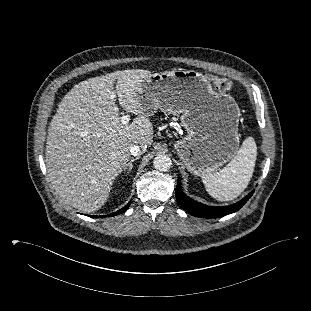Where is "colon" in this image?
Instances as JSON below:
<instances>
[{"label": "colon", "mask_w": 311, "mask_h": 311, "mask_svg": "<svg viewBox=\"0 0 311 311\" xmlns=\"http://www.w3.org/2000/svg\"><path fill=\"white\" fill-rule=\"evenodd\" d=\"M212 82L215 87L220 91H230L233 88V83L231 80L223 77H213Z\"/></svg>", "instance_id": "1"}]
</instances>
